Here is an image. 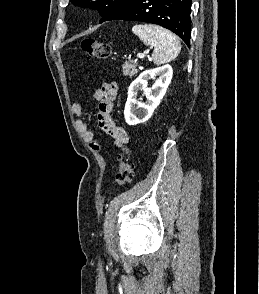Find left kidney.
Returning <instances> with one entry per match:
<instances>
[{"label":"left kidney","mask_w":259,"mask_h":294,"mask_svg":"<svg viewBox=\"0 0 259 294\" xmlns=\"http://www.w3.org/2000/svg\"><path fill=\"white\" fill-rule=\"evenodd\" d=\"M159 78L152 88H148V80ZM173 76L172 67L164 65L155 69L142 72L129 86L128 98L125 104L124 117L129 125H137L149 120L160 104ZM139 90H143L146 95V102L137 100Z\"/></svg>","instance_id":"obj_1"}]
</instances>
